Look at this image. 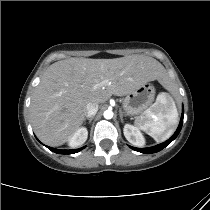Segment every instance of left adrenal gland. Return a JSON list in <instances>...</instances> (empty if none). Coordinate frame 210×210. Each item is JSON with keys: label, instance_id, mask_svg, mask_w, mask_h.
I'll list each match as a JSON object with an SVG mask.
<instances>
[{"label": "left adrenal gland", "instance_id": "a2214340", "mask_svg": "<svg viewBox=\"0 0 210 210\" xmlns=\"http://www.w3.org/2000/svg\"><path fill=\"white\" fill-rule=\"evenodd\" d=\"M119 116H120L121 122L123 123V112H122L121 109H120V111H119Z\"/></svg>", "mask_w": 210, "mask_h": 210}]
</instances>
